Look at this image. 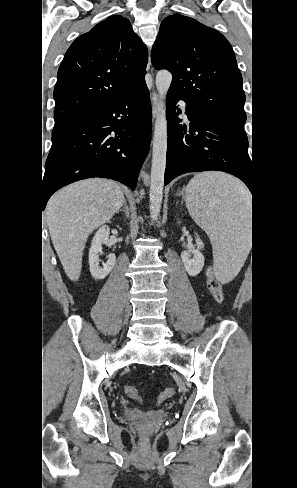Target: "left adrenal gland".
Segmentation results:
<instances>
[{
    "label": "left adrenal gland",
    "mask_w": 297,
    "mask_h": 488,
    "mask_svg": "<svg viewBox=\"0 0 297 488\" xmlns=\"http://www.w3.org/2000/svg\"><path fill=\"white\" fill-rule=\"evenodd\" d=\"M184 190H185V188H183L182 191L177 193V196H180V195L182 196V202L185 200Z\"/></svg>",
    "instance_id": "a2214340"
}]
</instances>
